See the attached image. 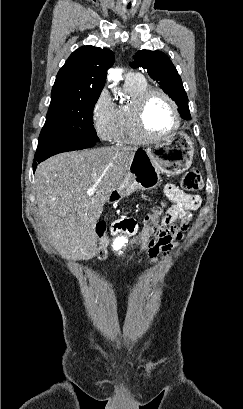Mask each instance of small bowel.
<instances>
[{
  "mask_svg": "<svg viewBox=\"0 0 243 409\" xmlns=\"http://www.w3.org/2000/svg\"><path fill=\"white\" fill-rule=\"evenodd\" d=\"M165 194L173 202L161 221L167 233L162 237L151 239L144 246L149 264L156 263L160 257L167 256L175 247L176 242L183 238L191 219L190 212L196 210L200 203L197 195L185 194L173 184L165 187Z\"/></svg>",
  "mask_w": 243,
  "mask_h": 409,
  "instance_id": "c3829d8e",
  "label": "small bowel"
}]
</instances>
